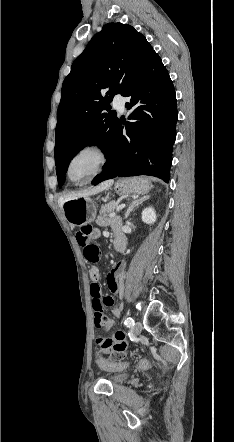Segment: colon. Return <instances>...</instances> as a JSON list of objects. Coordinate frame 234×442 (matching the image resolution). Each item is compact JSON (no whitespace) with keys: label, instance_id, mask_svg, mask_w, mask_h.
<instances>
[{"label":"colon","instance_id":"5ec220e1","mask_svg":"<svg viewBox=\"0 0 234 442\" xmlns=\"http://www.w3.org/2000/svg\"><path fill=\"white\" fill-rule=\"evenodd\" d=\"M93 232L94 229L91 226H84L77 232L76 239L78 244L84 249L85 258L89 262L95 263L99 260V248L97 245L91 243ZM99 277V269L97 267H92L90 269V278L93 281L91 294L93 298L94 317L96 314H105V309L108 307L109 303L107 297L102 296L101 288L97 283ZM97 357L98 359L95 360V365L99 366L100 370L102 371H113L115 368L125 367L124 363L115 364L109 359H101L100 354H97ZM117 361L121 360L118 359ZM140 365L142 367H146L148 365L147 359H143V362H141Z\"/></svg>","mask_w":234,"mask_h":442}]
</instances>
